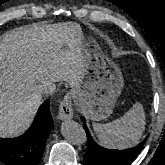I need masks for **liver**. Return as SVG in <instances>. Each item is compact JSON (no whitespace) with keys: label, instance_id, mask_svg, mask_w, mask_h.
I'll return each mask as SVG.
<instances>
[{"label":"liver","instance_id":"1","mask_svg":"<svg viewBox=\"0 0 165 165\" xmlns=\"http://www.w3.org/2000/svg\"><path fill=\"white\" fill-rule=\"evenodd\" d=\"M80 26L73 22L6 34L0 42V137L21 134L41 102L44 82L67 81L78 88L85 61ZM67 44L69 50L61 54Z\"/></svg>","mask_w":165,"mask_h":165}]
</instances>
